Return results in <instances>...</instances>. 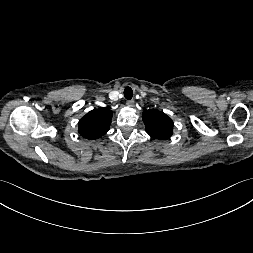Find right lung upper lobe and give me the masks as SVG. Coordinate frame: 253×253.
Returning a JSON list of instances; mask_svg holds the SVG:
<instances>
[{
    "label": "right lung upper lobe",
    "mask_w": 253,
    "mask_h": 253,
    "mask_svg": "<svg viewBox=\"0 0 253 253\" xmlns=\"http://www.w3.org/2000/svg\"><path fill=\"white\" fill-rule=\"evenodd\" d=\"M112 111L106 108L94 109L79 121V133L87 139H98L109 130Z\"/></svg>",
    "instance_id": "right-lung-upper-lobe-1"
}]
</instances>
